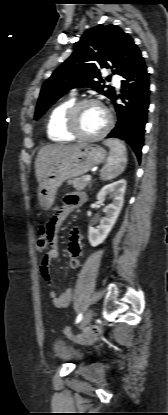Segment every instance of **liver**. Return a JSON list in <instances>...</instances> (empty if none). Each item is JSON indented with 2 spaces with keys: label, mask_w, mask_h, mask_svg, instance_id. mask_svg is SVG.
Instances as JSON below:
<instances>
[{
  "label": "liver",
  "mask_w": 168,
  "mask_h": 415,
  "mask_svg": "<svg viewBox=\"0 0 168 415\" xmlns=\"http://www.w3.org/2000/svg\"><path fill=\"white\" fill-rule=\"evenodd\" d=\"M83 144L79 145H47L42 147L35 161V173L37 181L40 183L48 172L49 168L61 159L77 151Z\"/></svg>",
  "instance_id": "6515ba94"
}]
</instances>
